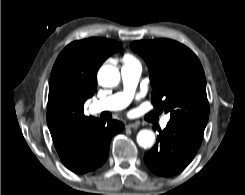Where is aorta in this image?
<instances>
[{
    "label": "aorta",
    "mask_w": 245,
    "mask_h": 195,
    "mask_svg": "<svg viewBox=\"0 0 245 195\" xmlns=\"http://www.w3.org/2000/svg\"><path fill=\"white\" fill-rule=\"evenodd\" d=\"M98 81L101 86L114 87L119 84L120 72L111 65L101 67L98 72ZM155 140V134L151 130L143 129L137 134V143L143 148H150Z\"/></svg>",
    "instance_id": "obj_1"
}]
</instances>
